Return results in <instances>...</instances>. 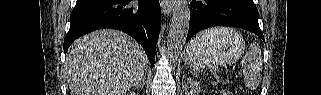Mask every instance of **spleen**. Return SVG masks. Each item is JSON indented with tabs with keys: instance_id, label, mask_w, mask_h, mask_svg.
<instances>
[{
	"instance_id": "spleen-1",
	"label": "spleen",
	"mask_w": 321,
	"mask_h": 95,
	"mask_svg": "<svg viewBox=\"0 0 321 95\" xmlns=\"http://www.w3.org/2000/svg\"><path fill=\"white\" fill-rule=\"evenodd\" d=\"M230 32H232V30L229 28H212L201 32L197 37L204 40L216 41ZM189 64L190 68L193 70L202 69V67L195 64ZM241 67L243 70L245 86L249 89L257 88L261 82L263 70L261 49L257 44L252 43L249 46L248 51H246V54L241 61Z\"/></svg>"
}]
</instances>
